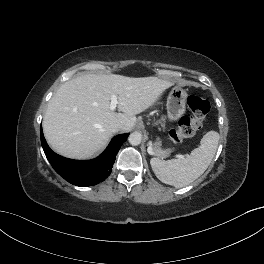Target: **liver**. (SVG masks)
<instances>
[{
  "label": "liver",
  "mask_w": 264,
  "mask_h": 264,
  "mask_svg": "<svg viewBox=\"0 0 264 264\" xmlns=\"http://www.w3.org/2000/svg\"><path fill=\"white\" fill-rule=\"evenodd\" d=\"M172 81L158 77L86 74L71 79L58 89L48 103L43 131L51 148L74 159H87L109 141L112 126L130 131L136 114L151 107ZM118 99L116 113L110 110L111 96Z\"/></svg>",
  "instance_id": "6515ba94"
}]
</instances>
